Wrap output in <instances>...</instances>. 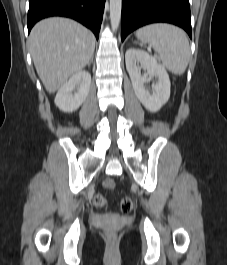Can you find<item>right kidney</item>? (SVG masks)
<instances>
[{
  "label": "right kidney",
  "mask_w": 227,
  "mask_h": 265,
  "mask_svg": "<svg viewBox=\"0 0 227 265\" xmlns=\"http://www.w3.org/2000/svg\"><path fill=\"white\" fill-rule=\"evenodd\" d=\"M91 85V75L81 70L62 85L55 97L56 106L64 112L76 111L86 100ZM77 92L73 94V91Z\"/></svg>",
  "instance_id": "right-kidney-1"
}]
</instances>
